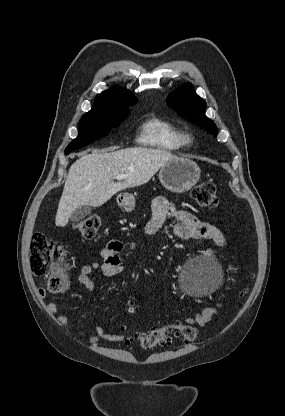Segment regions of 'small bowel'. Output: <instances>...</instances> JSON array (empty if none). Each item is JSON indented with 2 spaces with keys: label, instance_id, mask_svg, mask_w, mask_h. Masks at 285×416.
Here are the masks:
<instances>
[{
  "label": "small bowel",
  "instance_id": "1",
  "mask_svg": "<svg viewBox=\"0 0 285 416\" xmlns=\"http://www.w3.org/2000/svg\"><path fill=\"white\" fill-rule=\"evenodd\" d=\"M173 218L177 222L173 227V233L176 237L184 240H209L219 247L226 246V239L221 230L216 226L199 220L194 214L177 209L163 197H157L152 204V215L146 224L145 231L147 234L156 233L164 224L166 218ZM123 250L121 241L113 239L107 242L100 252V261L84 264L81 267L77 280L87 291L93 292L95 284L92 280L94 272L99 271L106 277H112L123 271L120 254ZM70 284L67 281L60 294L64 295L68 292ZM41 297L46 295V290H39ZM50 314L57 318L58 323L68 328L70 320L66 315L60 313V307L57 303L50 302L47 305ZM216 307H206L200 313L187 317L184 322L188 325H197L204 327L207 325L214 314ZM79 335L87 339L90 343H97L100 339L120 342L126 340L123 334L109 333L103 326H97L93 331L81 329Z\"/></svg>",
  "mask_w": 285,
  "mask_h": 416
}]
</instances>
